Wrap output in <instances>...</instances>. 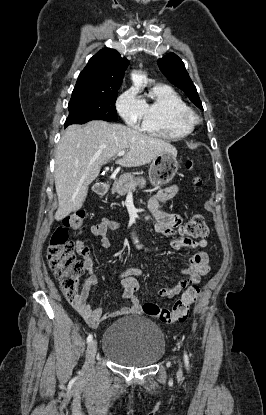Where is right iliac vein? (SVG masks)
I'll return each instance as SVG.
<instances>
[{
  "label": "right iliac vein",
  "mask_w": 266,
  "mask_h": 415,
  "mask_svg": "<svg viewBox=\"0 0 266 415\" xmlns=\"http://www.w3.org/2000/svg\"><path fill=\"white\" fill-rule=\"evenodd\" d=\"M96 352H97V342L95 340H92L88 344V347L86 350V361H85L86 370H90L93 367Z\"/></svg>",
  "instance_id": "63e3f726"
}]
</instances>
